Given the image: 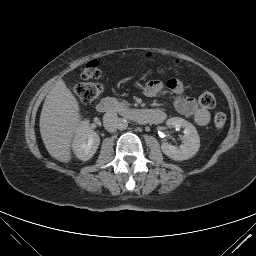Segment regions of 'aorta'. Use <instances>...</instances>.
Wrapping results in <instances>:
<instances>
[{
  "instance_id": "1",
  "label": "aorta",
  "mask_w": 256,
  "mask_h": 256,
  "mask_svg": "<svg viewBox=\"0 0 256 256\" xmlns=\"http://www.w3.org/2000/svg\"><path fill=\"white\" fill-rule=\"evenodd\" d=\"M128 127V121L124 118H121L119 120L118 129L125 130Z\"/></svg>"
}]
</instances>
